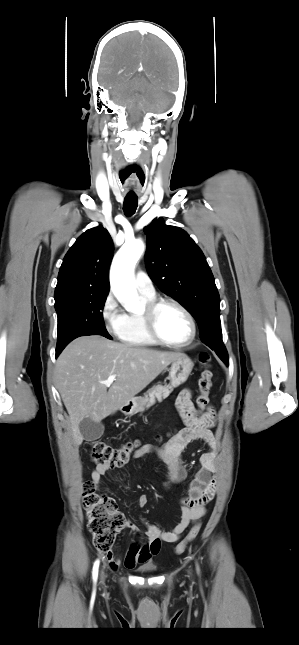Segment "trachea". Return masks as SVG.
<instances>
[{
    "mask_svg": "<svg viewBox=\"0 0 299 645\" xmlns=\"http://www.w3.org/2000/svg\"><path fill=\"white\" fill-rule=\"evenodd\" d=\"M138 206V200L135 196H126L123 203V210L126 216H132Z\"/></svg>",
    "mask_w": 299,
    "mask_h": 645,
    "instance_id": "trachea-1",
    "label": "trachea"
}]
</instances>
